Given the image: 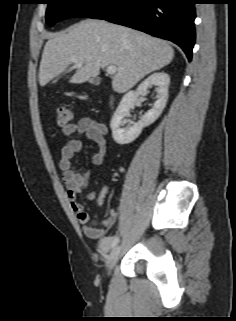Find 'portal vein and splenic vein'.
Wrapping results in <instances>:
<instances>
[{"instance_id":"18ae733b","label":"portal vein and splenic vein","mask_w":236,"mask_h":321,"mask_svg":"<svg viewBox=\"0 0 236 321\" xmlns=\"http://www.w3.org/2000/svg\"><path fill=\"white\" fill-rule=\"evenodd\" d=\"M81 66H82V63L80 62L76 63V67H81ZM106 72L107 74L114 75L117 72V67L114 65H110L106 68Z\"/></svg>"}]
</instances>
